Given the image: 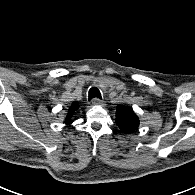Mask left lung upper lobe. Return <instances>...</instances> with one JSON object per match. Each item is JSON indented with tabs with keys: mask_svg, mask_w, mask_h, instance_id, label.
<instances>
[{
	"mask_svg": "<svg viewBox=\"0 0 195 195\" xmlns=\"http://www.w3.org/2000/svg\"><path fill=\"white\" fill-rule=\"evenodd\" d=\"M116 123L124 133L136 131L139 126V119L132 108L118 106L116 110Z\"/></svg>",
	"mask_w": 195,
	"mask_h": 195,
	"instance_id": "1",
	"label": "left lung upper lobe"
}]
</instances>
